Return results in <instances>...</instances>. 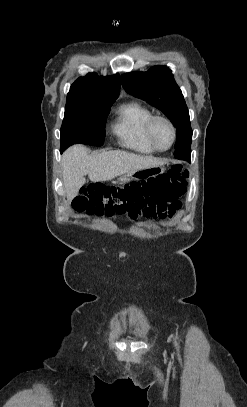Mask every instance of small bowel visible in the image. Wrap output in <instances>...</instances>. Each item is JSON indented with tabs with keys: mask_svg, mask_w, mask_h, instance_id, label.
<instances>
[{
	"mask_svg": "<svg viewBox=\"0 0 247 407\" xmlns=\"http://www.w3.org/2000/svg\"><path fill=\"white\" fill-rule=\"evenodd\" d=\"M181 209V202L177 200L174 203L166 201H148L142 209L126 215L131 221L144 218L146 221H158L164 223L174 218Z\"/></svg>",
	"mask_w": 247,
	"mask_h": 407,
	"instance_id": "1",
	"label": "small bowel"
}]
</instances>
